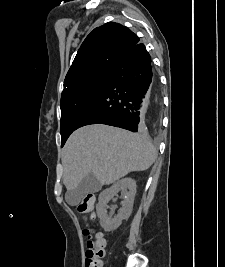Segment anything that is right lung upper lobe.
<instances>
[{"mask_svg": "<svg viewBox=\"0 0 225 267\" xmlns=\"http://www.w3.org/2000/svg\"><path fill=\"white\" fill-rule=\"evenodd\" d=\"M127 27L109 22L95 28L84 40L65 77L64 88L83 79L110 73L118 58L139 43Z\"/></svg>", "mask_w": 225, "mask_h": 267, "instance_id": "cb5924a9", "label": "right lung upper lobe"}]
</instances>
